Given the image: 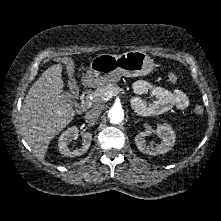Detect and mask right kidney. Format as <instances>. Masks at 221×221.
I'll use <instances>...</instances> for the list:
<instances>
[{
    "label": "right kidney",
    "instance_id": "1",
    "mask_svg": "<svg viewBox=\"0 0 221 221\" xmlns=\"http://www.w3.org/2000/svg\"><path fill=\"white\" fill-rule=\"evenodd\" d=\"M79 134V130L77 127H71L68 128L66 131H64L58 141L59 151L62 155L67 157H75V156H81L89 149L91 140H92V134L91 133H83V142L82 147L76 148L75 150H70L68 147V143L72 138H76Z\"/></svg>",
    "mask_w": 221,
    "mask_h": 221
}]
</instances>
